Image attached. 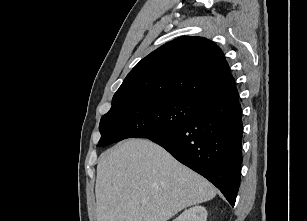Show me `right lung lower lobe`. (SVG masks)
Listing matches in <instances>:
<instances>
[{
  "label": "right lung lower lobe",
  "instance_id": "98d812e1",
  "mask_svg": "<svg viewBox=\"0 0 307 221\" xmlns=\"http://www.w3.org/2000/svg\"><path fill=\"white\" fill-rule=\"evenodd\" d=\"M238 95L208 104L188 123L149 140L213 183L234 206L242 163Z\"/></svg>",
  "mask_w": 307,
  "mask_h": 221
}]
</instances>
